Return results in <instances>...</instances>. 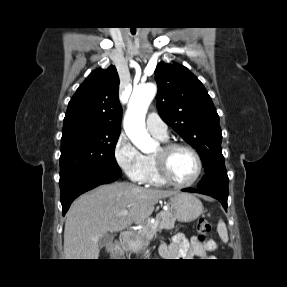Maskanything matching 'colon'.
Instances as JSON below:
<instances>
[{"label": "colon", "instance_id": "1", "mask_svg": "<svg viewBox=\"0 0 287 287\" xmlns=\"http://www.w3.org/2000/svg\"><path fill=\"white\" fill-rule=\"evenodd\" d=\"M211 232V225L205 218H200L197 223V236L201 243L208 241L209 234Z\"/></svg>", "mask_w": 287, "mask_h": 287}]
</instances>
